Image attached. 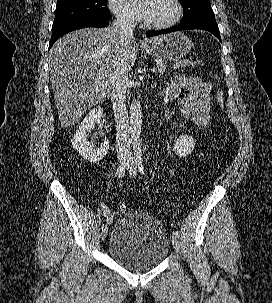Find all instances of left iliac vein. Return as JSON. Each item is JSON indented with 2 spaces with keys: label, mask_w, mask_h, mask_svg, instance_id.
Masks as SVG:
<instances>
[{
  "label": "left iliac vein",
  "mask_w": 272,
  "mask_h": 303,
  "mask_svg": "<svg viewBox=\"0 0 272 303\" xmlns=\"http://www.w3.org/2000/svg\"><path fill=\"white\" fill-rule=\"evenodd\" d=\"M126 166H127L128 172H129L131 175L135 176V175L137 174L136 167H135L134 162H133V160H132L131 158H129V159L127 160ZM172 245H173V247L175 248V250H176L177 252L180 251V241H179V237H177V236H175V235L172 236Z\"/></svg>",
  "instance_id": "1"
}]
</instances>
